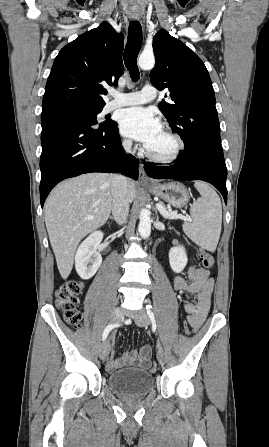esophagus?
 I'll return each mask as SVG.
<instances>
[{"label": "esophagus", "instance_id": "obj_1", "mask_svg": "<svg viewBox=\"0 0 269 447\" xmlns=\"http://www.w3.org/2000/svg\"><path fill=\"white\" fill-rule=\"evenodd\" d=\"M139 183H143V184L154 183L153 180L150 179V178L146 175L142 163H140V165H139Z\"/></svg>", "mask_w": 269, "mask_h": 447}]
</instances>
